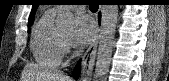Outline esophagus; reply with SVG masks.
<instances>
[{
	"label": "esophagus",
	"mask_w": 169,
	"mask_h": 81,
	"mask_svg": "<svg viewBox=\"0 0 169 81\" xmlns=\"http://www.w3.org/2000/svg\"><path fill=\"white\" fill-rule=\"evenodd\" d=\"M97 31L94 39L92 40L90 46L85 51L81 61V70L86 73L85 78L89 79L92 74L93 66L95 63L97 47L101 39L102 35V27H103V8L100 6L95 15Z\"/></svg>",
	"instance_id": "esophagus-1"
}]
</instances>
